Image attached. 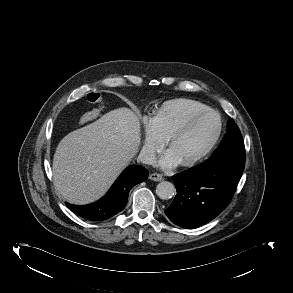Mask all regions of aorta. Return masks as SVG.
Returning <instances> with one entry per match:
<instances>
[{
    "instance_id": "762f6f07",
    "label": "aorta",
    "mask_w": 293,
    "mask_h": 293,
    "mask_svg": "<svg viewBox=\"0 0 293 293\" xmlns=\"http://www.w3.org/2000/svg\"><path fill=\"white\" fill-rule=\"evenodd\" d=\"M176 193L175 186L168 181L160 182L156 187V194L160 199L167 200L174 196Z\"/></svg>"
}]
</instances>
